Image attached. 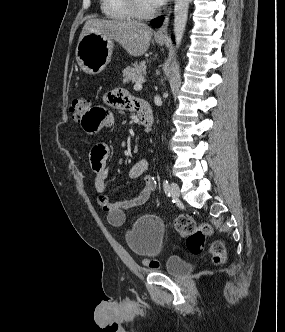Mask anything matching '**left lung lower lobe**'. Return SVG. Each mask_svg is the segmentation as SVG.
Wrapping results in <instances>:
<instances>
[{
    "instance_id": "obj_1",
    "label": "left lung lower lobe",
    "mask_w": 285,
    "mask_h": 332,
    "mask_svg": "<svg viewBox=\"0 0 285 332\" xmlns=\"http://www.w3.org/2000/svg\"><path fill=\"white\" fill-rule=\"evenodd\" d=\"M163 19H164V17L156 18L155 20H153L151 22V25L154 26V27H160V25L163 22ZM172 39L174 40V38H172Z\"/></svg>"
}]
</instances>
